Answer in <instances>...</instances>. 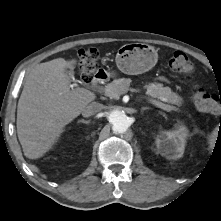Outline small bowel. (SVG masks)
Here are the masks:
<instances>
[{"mask_svg":"<svg viewBox=\"0 0 221 221\" xmlns=\"http://www.w3.org/2000/svg\"><path fill=\"white\" fill-rule=\"evenodd\" d=\"M161 80L166 81V79H165V78H161Z\"/></svg>","mask_w":221,"mask_h":221,"instance_id":"1","label":"small bowel"}]
</instances>
